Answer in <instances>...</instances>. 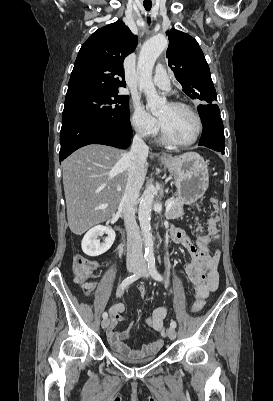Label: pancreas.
I'll use <instances>...</instances> for the list:
<instances>
[{
	"label": "pancreas",
	"mask_w": 273,
	"mask_h": 401,
	"mask_svg": "<svg viewBox=\"0 0 273 401\" xmlns=\"http://www.w3.org/2000/svg\"><path fill=\"white\" fill-rule=\"evenodd\" d=\"M168 201H173L174 205L165 213L166 219H178V217H182L184 211L183 203H181L180 198H168Z\"/></svg>",
	"instance_id": "1"
}]
</instances>
